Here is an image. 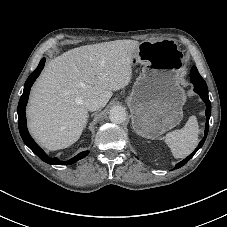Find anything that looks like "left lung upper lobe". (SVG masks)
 <instances>
[{
	"mask_svg": "<svg viewBox=\"0 0 227 227\" xmlns=\"http://www.w3.org/2000/svg\"><path fill=\"white\" fill-rule=\"evenodd\" d=\"M190 78L191 79L196 78L197 81H199L200 83L206 84L204 79L200 76V74L195 66H193L191 69Z\"/></svg>",
	"mask_w": 227,
	"mask_h": 227,
	"instance_id": "5c2ea615",
	"label": "left lung upper lobe"
}]
</instances>
